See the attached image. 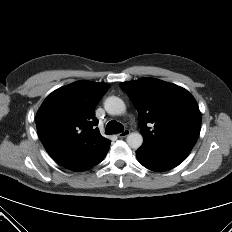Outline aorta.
I'll return each mask as SVG.
<instances>
[{"instance_id": "obj_1", "label": "aorta", "mask_w": 232, "mask_h": 232, "mask_svg": "<svg viewBox=\"0 0 232 232\" xmlns=\"http://www.w3.org/2000/svg\"><path fill=\"white\" fill-rule=\"evenodd\" d=\"M104 108L110 115H121L126 111L125 103L116 96L108 97L104 102ZM126 141L129 147L138 149L143 143V137L140 133L133 132L127 136Z\"/></svg>"}]
</instances>
